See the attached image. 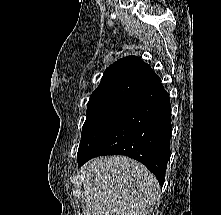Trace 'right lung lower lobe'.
I'll return each instance as SVG.
<instances>
[{"instance_id":"right-lung-lower-lobe-1","label":"right lung lower lobe","mask_w":221,"mask_h":215,"mask_svg":"<svg viewBox=\"0 0 221 215\" xmlns=\"http://www.w3.org/2000/svg\"><path fill=\"white\" fill-rule=\"evenodd\" d=\"M171 104L161 82L134 98L94 148L81 158L121 154L143 163L164 183L170 157Z\"/></svg>"}]
</instances>
